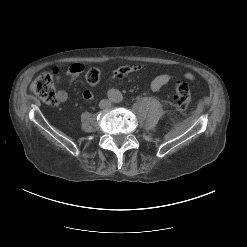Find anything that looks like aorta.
Here are the masks:
<instances>
[{"label":"aorta","instance_id":"762f6f07","mask_svg":"<svg viewBox=\"0 0 247 247\" xmlns=\"http://www.w3.org/2000/svg\"><path fill=\"white\" fill-rule=\"evenodd\" d=\"M107 94L112 102L118 103L122 101V93L117 89H110Z\"/></svg>","mask_w":247,"mask_h":247}]
</instances>
